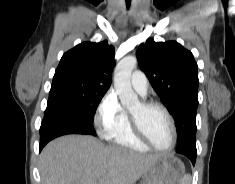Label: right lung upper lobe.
Instances as JSON below:
<instances>
[{
    "mask_svg": "<svg viewBox=\"0 0 235 184\" xmlns=\"http://www.w3.org/2000/svg\"><path fill=\"white\" fill-rule=\"evenodd\" d=\"M114 54V47L107 41L78 44L62 56L50 91L68 85L109 88L115 66Z\"/></svg>",
    "mask_w": 235,
    "mask_h": 184,
    "instance_id": "right-lung-upper-lobe-1",
    "label": "right lung upper lobe"
}]
</instances>
